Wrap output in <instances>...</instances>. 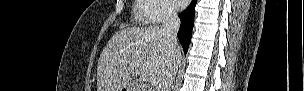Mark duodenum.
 <instances>
[{"instance_id":"duodenum-1","label":"duodenum","mask_w":304,"mask_h":91,"mask_svg":"<svg viewBox=\"0 0 304 91\" xmlns=\"http://www.w3.org/2000/svg\"><path fill=\"white\" fill-rule=\"evenodd\" d=\"M133 87H134V88H133L134 91H139V88H138L137 85H134Z\"/></svg>"}]
</instances>
